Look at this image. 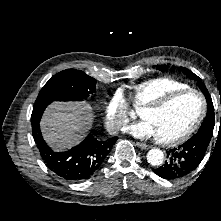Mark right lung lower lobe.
Listing matches in <instances>:
<instances>
[{
    "label": "right lung lower lobe",
    "mask_w": 221,
    "mask_h": 221,
    "mask_svg": "<svg viewBox=\"0 0 221 221\" xmlns=\"http://www.w3.org/2000/svg\"><path fill=\"white\" fill-rule=\"evenodd\" d=\"M51 101L35 102L31 115L32 135L46 166L59 177L79 181L91 177L107 158L117 137L98 140L89 134L79 145L69 151L54 152L44 141L40 119Z\"/></svg>",
    "instance_id": "right-lung-lower-lobe-1"
}]
</instances>
